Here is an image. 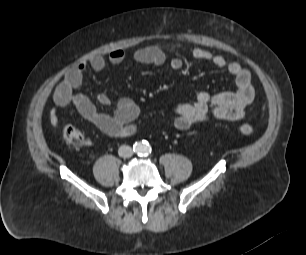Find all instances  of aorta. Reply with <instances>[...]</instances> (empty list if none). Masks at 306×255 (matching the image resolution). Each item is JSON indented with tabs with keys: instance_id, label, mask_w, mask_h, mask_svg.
Here are the masks:
<instances>
[{
	"instance_id": "1",
	"label": "aorta",
	"mask_w": 306,
	"mask_h": 255,
	"mask_svg": "<svg viewBox=\"0 0 306 255\" xmlns=\"http://www.w3.org/2000/svg\"><path fill=\"white\" fill-rule=\"evenodd\" d=\"M134 150L139 155H148L151 152V146L147 142H138L135 144Z\"/></svg>"
}]
</instances>
